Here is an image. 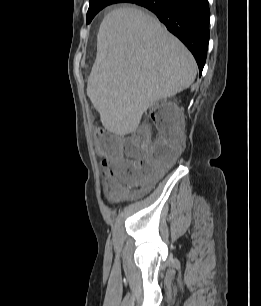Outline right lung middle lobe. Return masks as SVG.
Here are the masks:
<instances>
[{
	"mask_svg": "<svg viewBox=\"0 0 261 306\" xmlns=\"http://www.w3.org/2000/svg\"><path fill=\"white\" fill-rule=\"evenodd\" d=\"M123 1H102V2H90L89 3V9L87 12V24L92 21L94 16L102 10L104 7L114 4V3H121Z\"/></svg>",
	"mask_w": 261,
	"mask_h": 306,
	"instance_id": "obj_1",
	"label": "right lung middle lobe"
}]
</instances>
